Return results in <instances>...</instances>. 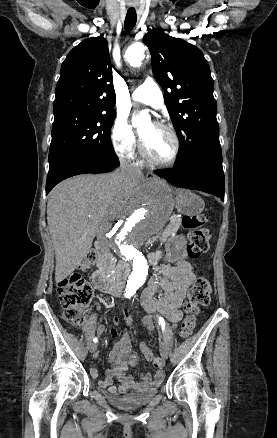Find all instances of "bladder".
Wrapping results in <instances>:
<instances>
[{
	"instance_id": "31cf9c89",
	"label": "bladder",
	"mask_w": 277,
	"mask_h": 438,
	"mask_svg": "<svg viewBox=\"0 0 277 438\" xmlns=\"http://www.w3.org/2000/svg\"><path fill=\"white\" fill-rule=\"evenodd\" d=\"M160 384L157 383L152 387L145 388L141 392L131 394L107 393L109 402L123 409H137L148 405L153 398L159 393Z\"/></svg>"
}]
</instances>
